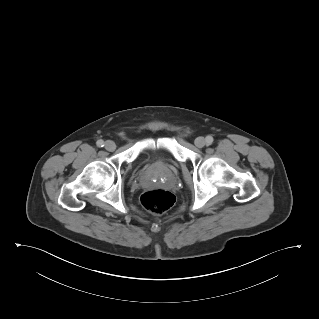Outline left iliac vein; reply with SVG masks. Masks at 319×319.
Returning <instances> with one entry per match:
<instances>
[{
    "label": "left iliac vein",
    "mask_w": 319,
    "mask_h": 319,
    "mask_svg": "<svg viewBox=\"0 0 319 319\" xmlns=\"http://www.w3.org/2000/svg\"><path fill=\"white\" fill-rule=\"evenodd\" d=\"M194 143L198 148H203L206 145V140L203 137H197Z\"/></svg>",
    "instance_id": "left-iliac-vein-1"
}]
</instances>
